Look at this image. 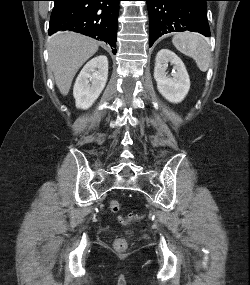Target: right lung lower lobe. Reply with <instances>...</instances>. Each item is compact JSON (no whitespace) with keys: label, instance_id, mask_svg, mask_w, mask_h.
Here are the masks:
<instances>
[{"label":"right lung lower lobe","instance_id":"right-lung-lower-lobe-1","mask_svg":"<svg viewBox=\"0 0 250 285\" xmlns=\"http://www.w3.org/2000/svg\"><path fill=\"white\" fill-rule=\"evenodd\" d=\"M49 34L72 30L116 47L120 0H53ZM116 53V49L113 50Z\"/></svg>","mask_w":250,"mask_h":285}]
</instances>
